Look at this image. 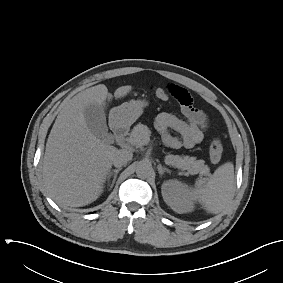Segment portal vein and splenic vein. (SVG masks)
<instances>
[{"label": "portal vein and splenic vein", "mask_w": 283, "mask_h": 283, "mask_svg": "<svg viewBox=\"0 0 283 283\" xmlns=\"http://www.w3.org/2000/svg\"><path fill=\"white\" fill-rule=\"evenodd\" d=\"M149 141H150L149 136H146L140 141V143L143 144V145H146V144L149 143Z\"/></svg>", "instance_id": "portal-vein-and-splenic-vein-1"}]
</instances>
